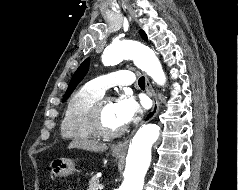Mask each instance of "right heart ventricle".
<instances>
[{
  "mask_svg": "<svg viewBox=\"0 0 238 190\" xmlns=\"http://www.w3.org/2000/svg\"><path fill=\"white\" fill-rule=\"evenodd\" d=\"M102 95L86 85L71 96L61 122L63 137L75 140H90L98 137L90 127L88 116L93 104Z\"/></svg>",
  "mask_w": 238,
  "mask_h": 190,
  "instance_id": "1",
  "label": "right heart ventricle"
}]
</instances>
